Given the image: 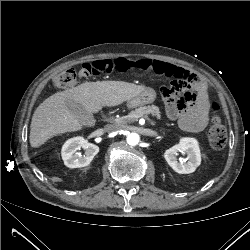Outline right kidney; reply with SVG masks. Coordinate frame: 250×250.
<instances>
[{"instance_id": "1", "label": "right kidney", "mask_w": 250, "mask_h": 250, "mask_svg": "<svg viewBox=\"0 0 250 250\" xmlns=\"http://www.w3.org/2000/svg\"><path fill=\"white\" fill-rule=\"evenodd\" d=\"M84 149V153L78 152ZM99 152V147L89 143L83 137H74L67 140L62 147V159L69 168H80L90 164L94 156Z\"/></svg>"}]
</instances>
